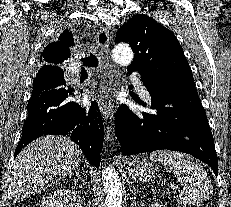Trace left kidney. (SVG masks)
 I'll return each mask as SVG.
<instances>
[{"mask_svg":"<svg viewBox=\"0 0 231 207\" xmlns=\"http://www.w3.org/2000/svg\"><path fill=\"white\" fill-rule=\"evenodd\" d=\"M151 207H165V206L163 204L155 202L154 204L151 205Z\"/></svg>","mask_w":231,"mask_h":207,"instance_id":"left-kidney-1","label":"left kidney"}]
</instances>
